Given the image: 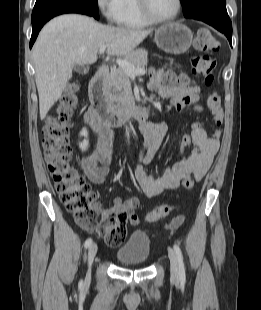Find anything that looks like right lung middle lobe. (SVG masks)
<instances>
[{"instance_id":"obj_1","label":"right lung middle lobe","mask_w":261,"mask_h":310,"mask_svg":"<svg viewBox=\"0 0 261 310\" xmlns=\"http://www.w3.org/2000/svg\"><path fill=\"white\" fill-rule=\"evenodd\" d=\"M68 7L88 11L94 18L99 19L97 0H36L32 17L51 8Z\"/></svg>"}]
</instances>
